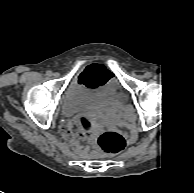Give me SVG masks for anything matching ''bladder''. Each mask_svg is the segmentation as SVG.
Masks as SVG:
<instances>
[{"label":"bladder","mask_w":194,"mask_h":193,"mask_svg":"<svg viewBox=\"0 0 194 193\" xmlns=\"http://www.w3.org/2000/svg\"><path fill=\"white\" fill-rule=\"evenodd\" d=\"M87 87L83 83H77L67 92L66 99L69 98L76 105H80L86 100Z\"/></svg>","instance_id":"31cf9c89"}]
</instances>
